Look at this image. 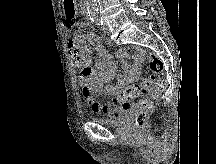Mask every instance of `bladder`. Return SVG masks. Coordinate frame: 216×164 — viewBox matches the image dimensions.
Masks as SVG:
<instances>
[{
	"mask_svg": "<svg viewBox=\"0 0 216 164\" xmlns=\"http://www.w3.org/2000/svg\"><path fill=\"white\" fill-rule=\"evenodd\" d=\"M127 112L126 109H118L117 115L113 118H94V120L103 125L119 127L125 123Z\"/></svg>",
	"mask_w": 216,
	"mask_h": 164,
	"instance_id": "obj_1",
	"label": "bladder"
}]
</instances>
